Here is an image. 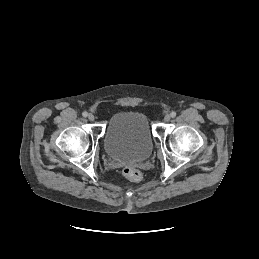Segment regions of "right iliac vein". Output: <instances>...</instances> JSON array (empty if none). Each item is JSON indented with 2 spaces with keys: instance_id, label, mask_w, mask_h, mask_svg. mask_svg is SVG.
Instances as JSON below:
<instances>
[{
  "instance_id": "63e3f726",
  "label": "right iliac vein",
  "mask_w": 259,
  "mask_h": 259,
  "mask_svg": "<svg viewBox=\"0 0 259 259\" xmlns=\"http://www.w3.org/2000/svg\"><path fill=\"white\" fill-rule=\"evenodd\" d=\"M88 119H89L90 121H94L95 116H94L92 113H90V114L88 115Z\"/></svg>"
}]
</instances>
